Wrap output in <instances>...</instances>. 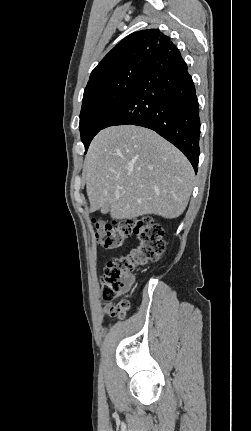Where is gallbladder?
I'll return each mask as SVG.
<instances>
[{"label":"gallbladder","mask_w":251,"mask_h":431,"mask_svg":"<svg viewBox=\"0 0 251 431\" xmlns=\"http://www.w3.org/2000/svg\"><path fill=\"white\" fill-rule=\"evenodd\" d=\"M100 210H101V212L103 214H107L109 212V206L108 205H104V206L101 207Z\"/></svg>","instance_id":"bac80fb5"}]
</instances>
